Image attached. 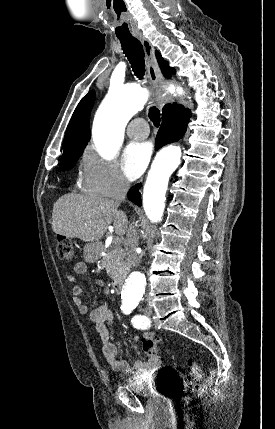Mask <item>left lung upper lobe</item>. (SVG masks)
<instances>
[{
  "instance_id": "left-lung-upper-lobe-1",
  "label": "left lung upper lobe",
  "mask_w": 275,
  "mask_h": 429,
  "mask_svg": "<svg viewBox=\"0 0 275 429\" xmlns=\"http://www.w3.org/2000/svg\"><path fill=\"white\" fill-rule=\"evenodd\" d=\"M170 71H171L172 73H174V70H173L172 68H170Z\"/></svg>"
}]
</instances>
